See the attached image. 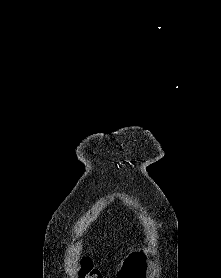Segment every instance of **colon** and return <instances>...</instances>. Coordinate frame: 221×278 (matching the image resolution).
Here are the masks:
<instances>
[{
  "instance_id": "colon-1",
  "label": "colon",
  "mask_w": 221,
  "mask_h": 278,
  "mask_svg": "<svg viewBox=\"0 0 221 278\" xmlns=\"http://www.w3.org/2000/svg\"><path fill=\"white\" fill-rule=\"evenodd\" d=\"M79 278H103L101 272L95 268L92 261L88 258H82L78 262Z\"/></svg>"
}]
</instances>
